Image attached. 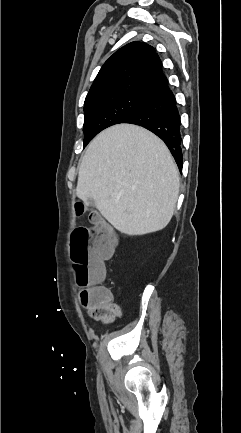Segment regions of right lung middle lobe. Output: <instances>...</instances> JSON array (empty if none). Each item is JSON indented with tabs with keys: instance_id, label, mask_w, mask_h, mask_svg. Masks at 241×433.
I'll return each mask as SVG.
<instances>
[{
	"instance_id": "dd1d6c3e",
	"label": "right lung middle lobe",
	"mask_w": 241,
	"mask_h": 433,
	"mask_svg": "<svg viewBox=\"0 0 241 433\" xmlns=\"http://www.w3.org/2000/svg\"><path fill=\"white\" fill-rule=\"evenodd\" d=\"M149 94L136 92L119 93L84 103V147L103 129L123 123L138 111Z\"/></svg>"
}]
</instances>
